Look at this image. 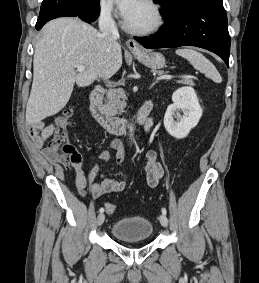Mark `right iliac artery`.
Listing matches in <instances>:
<instances>
[{
    "mask_svg": "<svg viewBox=\"0 0 259 283\" xmlns=\"http://www.w3.org/2000/svg\"><path fill=\"white\" fill-rule=\"evenodd\" d=\"M99 212H100V213L104 212V208H100V209H99Z\"/></svg>",
    "mask_w": 259,
    "mask_h": 283,
    "instance_id": "obj_1",
    "label": "right iliac artery"
}]
</instances>
